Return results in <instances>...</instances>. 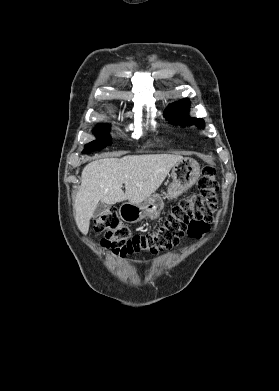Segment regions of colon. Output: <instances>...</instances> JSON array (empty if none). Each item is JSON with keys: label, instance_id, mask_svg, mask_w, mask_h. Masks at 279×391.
I'll use <instances>...</instances> for the list:
<instances>
[{"label": "colon", "instance_id": "1", "mask_svg": "<svg viewBox=\"0 0 279 391\" xmlns=\"http://www.w3.org/2000/svg\"><path fill=\"white\" fill-rule=\"evenodd\" d=\"M215 174L213 166L205 165L198 181V193L174 205L162 225L153 232L134 234L121 221L115 208L107 209L93 222L94 230L104 233L102 246L125 257L171 249L185 233L192 238H201L208 231L218 208L219 186Z\"/></svg>", "mask_w": 279, "mask_h": 391}]
</instances>
